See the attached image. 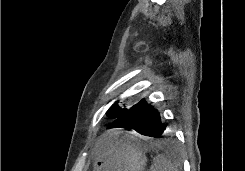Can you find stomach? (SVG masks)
Here are the masks:
<instances>
[{
	"label": "stomach",
	"mask_w": 245,
	"mask_h": 171,
	"mask_svg": "<svg viewBox=\"0 0 245 171\" xmlns=\"http://www.w3.org/2000/svg\"><path fill=\"white\" fill-rule=\"evenodd\" d=\"M148 150L133 133H110L99 145L93 171H144Z\"/></svg>",
	"instance_id": "stomach-1"
}]
</instances>
